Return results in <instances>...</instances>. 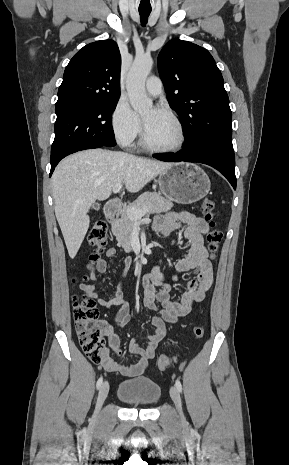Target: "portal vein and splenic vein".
I'll use <instances>...</instances> for the list:
<instances>
[{
  "instance_id": "1",
  "label": "portal vein and splenic vein",
  "mask_w": 289,
  "mask_h": 465,
  "mask_svg": "<svg viewBox=\"0 0 289 465\" xmlns=\"http://www.w3.org/2000/svg\"><path fill=\"white\" fill-rule=\"evenodd\" d=\"M122 188V184L121 183H117L114 187H113V193H118ZM148 212V209H142V210H137L135 208H129L127 209V213H128V216L131 220L137 222V221H140L141 218Z\"/></svg>"
}]
</instances>
